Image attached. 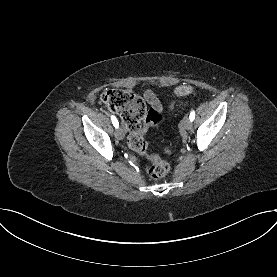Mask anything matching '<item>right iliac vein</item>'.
Listing matches in <instances>:
<instances>
[{
  "label": "right iliac vein",
  "instance_id": "1",
  "mask_svg": "<svg viewBox=\"0 0 277 277\" xmlns=\"http://www.w3.org/2000/svg\"><path fill=\"white\" fill-rule=\"evenodd\" d=\"M115 136L117 139L123 140L125 136L124 130L121 127H118L115 131Z\"/></svg>",
  "mask_w": 277,
  "mask_h": 277
}]
</instances>
